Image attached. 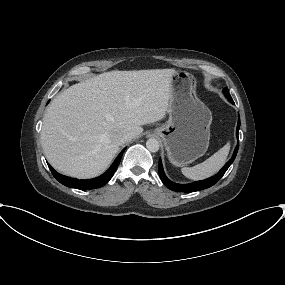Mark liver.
<instances>
[{
  "label": "liver",
  "mask_w": 285,
  "mask_h": 285,
  "mask_svg": "<svg viewBox=\"0 0 285 285\" xmlns=\"http://www.w3.org/2000/svg\"><path fill=\"white\" fill-rule=\"evenodd\" d=\"M174 69L110 71L77 83L56 96L46 110L41 141L59 172L93 178L119 150L113 133L131 141L142 125L163 119L172 94Z\"/></svg>",
  "instance_id": "liver-1"
}]
</instances>
